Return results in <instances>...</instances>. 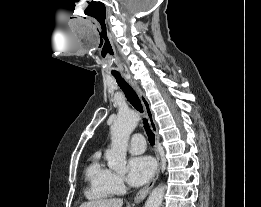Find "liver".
<instances>
[{"label": "liver", "mask_w": 261, "mask_h": 207, "mask_svg": "<svg viewBox=\"0 0 261 207\" xmlns=\"http://www.w3.org/2000/svg\"><path fill=\"white\" fill-rule=\"evenodd\" d=\"M122 205L123 200L121 198H110L85 202L79 207H122Z\"/></svg>", "instance_id": "liver-1"}]
</instances>
